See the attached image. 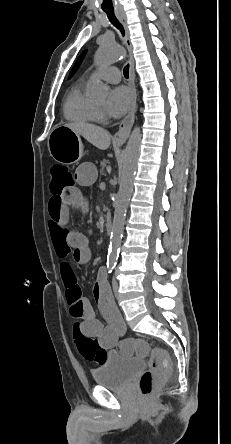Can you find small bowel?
<instances>
[{"label":"small bowel","mask_w":231,"mask_h":444,"mask_svg":"<svg viewBox=\"0 0 231 444\" xmlns=\"http://www.w3.org/2000/svg\"><path fill=\"white\" fill-rule=\"evenodd\" d=\"M97 178V171L92 163L80 164L73 179L80 186H90ZM75 208L80 213L87 211V200L77 187H70L60 198H50L49 233L56 254L61 259L60 274L66 289V299L70 315L80 322L81 332L97 340L104 349H111L119 341L124 330V323L115 306L110 288L106 282L105 271L101 270L93 288V294L99 308L108 314L106 324L96 317L89 300L81 296L75 274L68 257L78 265L87 264L91 259V250L87 237L68 226L69 208Z\"/></svg>","instance_id":"c3829d8e"}]
</instances>
